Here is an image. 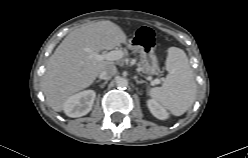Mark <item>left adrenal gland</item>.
I'll use <instances>...</instances> for the list:
<instances>
[{"mask_svg":"<svg viewBox=\"0 0 248 158\" xmlns=\"http://www.w3.org/2000/svg\"><path fill=\"white\" fill-rule=\"evenodd\" d=\"M136 83H137V84H142V83H146V81L136 79Z\"/></svg>","mask_w":248,"mask_h":158,"instance_id":"a2214340","label":"left adrenal gland"}]
</instances>
